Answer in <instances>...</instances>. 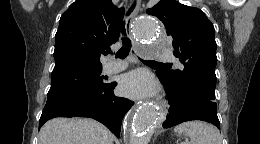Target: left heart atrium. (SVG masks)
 I'll use <instances>...</instances> for the list:
<instances>
[{
    "mask_svg": "<svg viewBox=\"0 0 260 144\" xmlns=\"http://www.w3.org/2000/svg\"><path fill=\"white\" fill-rule=\"evenodd\" d=\"M119 89L125 96L146 98L154 94L156 85L147 72L135 70L122 76Z\"/></svg>",
    "mask_w": 260,
    "mask_h": 144,
    "instance_id": "left-heart-atrium-1",
    "label": "left heart atrium"
}]
</instances>
